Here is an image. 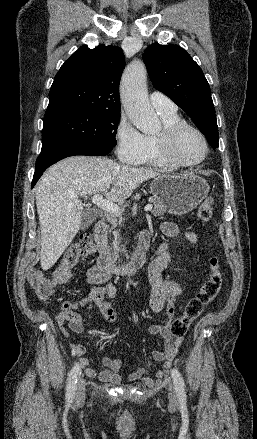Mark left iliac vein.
I'll return each instance as SVG.
<instances>
[{
    "mask_svg": "<svg viewBox=\"0 0 257 439\" xmlns=\"http://www.w3.org/2000/svg\"><path fill=\"white\" fill-rule=\"evenodd\" d=\"M169 399L172 403L176 402V396L172 385H169Z\"/></svg>",
    "mask_w": 257,
    "mask_h": 439,
    "instance_id": "4c4485c4",
    "label": "left iliac vein"
}]
</instances>
